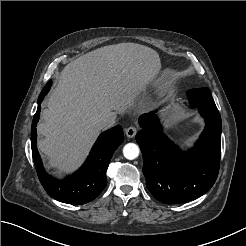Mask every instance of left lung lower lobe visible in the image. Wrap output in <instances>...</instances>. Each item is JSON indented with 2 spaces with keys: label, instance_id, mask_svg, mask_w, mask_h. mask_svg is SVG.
I'll list each match as a JSON object with an SVG mask.
<instances>
[{
  "label": "left lung lower lobe",
  "instance_id": "obj_1",
  "mask_svg": "<svg viewBox=\"0 0 246 246\" xmlns=\"http://www.w3.org/2000/svg\"><path fill=\"white\" fill-rule=\"evenodd\" d=\"M206 126L195 147L183 152L162 133L154 112L140 116L136 141L143 155V173L151 194L160 202L177 204L196 199L215 183L221 153L222 122L208 88L187 91Z\"/></svg>",
  "mask_w": 246,
  "mask_h": 246
}]
</instances>
